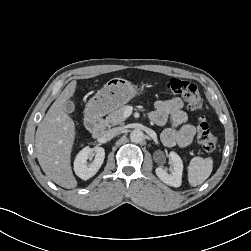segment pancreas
<instances>
[{"label": "pancreas", "instance_id": "pancreas-1", "mask_svg": "<svg viewBox=\"0 0 251 251\" xmlns=\"http://www.w3.org/2000/svg\"><path fill=\"white\" fill-rule=\"evenodd\" d=\"M127 108L128 106L122 105L119 108L111 111L105 119L106 124L113 126L121 124L125 120L124 112Z\"/></svg>", "mask_w": 251, "mask_h": 251}]
</instances>
